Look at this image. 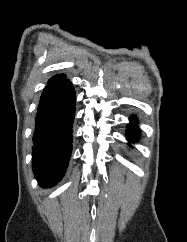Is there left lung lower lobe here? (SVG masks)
<instances>
[{
	"mask_svg": "<svg viewBox=\"0 0 187 242\" xmlns=\"http://www.w3.org/2000/svg\"><path fill=\"white\" fill-rule=\"evenodd\" d=\"M137 124V118L134 116L130 117V124L128 125L126 130V137L129 140V142H137L140 137L139 128Z\"/></svg>",
	"mask_w": 187,
	"mask_h": 242,
	"instance_id": "1",
	"label": "left lung lower lobe"
}]
</instances>
